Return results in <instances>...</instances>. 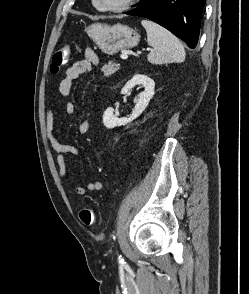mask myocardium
I'll list each match as a JSON object with an SVG mask.
<instances>
[{"label": "myocardium", "instance_id": "f54148a6", "mask_svg": "<svg viewBox=\"0 0 249 294\" xmlns=\"http://www.w3.org/2000/svg\"><path fill=\"white\" fill-rule=\"evenodd\" d=\"M138 0H124L117 6H104L98 0H92L93 4L103 12L121 13L130 9Z\"/></svg>", "mask_w": 249, "mask_h": 294}]
</instances>
